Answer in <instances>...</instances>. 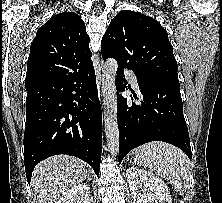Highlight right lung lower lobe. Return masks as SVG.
<instances>
[{
  "mask_svg": "<svg viewBox=\"0 0 222 203\" xmlns=\"http://www.w3.org/2000/svg\"><path fill=\"white\" fill-rule=\"evenodd\" d=\"M24 164L34 167L58 154L78 157L99 174L102 114L93 66L26 85Z\"/></svg>",
  "mask_w": 222,
  "mask_h": 203,
  "instance_id": "98d812e1",
  "label": "right lung lower lobe"
}]
</instances>
